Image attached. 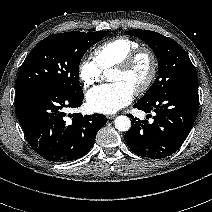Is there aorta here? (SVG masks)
Segmentation results:
<instances>
[{"instance_id":"1","label":"aorta","mask_w":212,"mask_h":212,"mask_svg":"<svg viewBox=\"0 0 212 212\" xmlns=\"http://www.w3.org/2000/svg\"><path fill=\"white\" fill-rule=\"evenodd\" d=\"M115 128L119 131H128L131 127V121L127 116H118L114 121Z\"/></svg>"}]
</instances>
